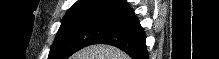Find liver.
<instances>
[{
    "mask_svg": "<svg viewBox=\"0 0 219 59\" xmlns=\"http://www.w3.org/2000/svg\"><path fill=\"white\" fill-rule=\"evenodd\" d=\"M71 59H130L121 50L109 45L88 46L76 52Z\"/></svg>",
    "mask_w": 219,
    "mask_h": 59,
    "instance_id": "obj_1",
    "label": "liver"
}]
</instances>
